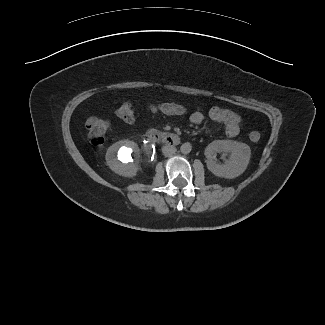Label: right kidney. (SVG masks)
<instances>
[{
    "mask_svg": "<svg viewBox=\"0 0 325 325\" xmlns=\"http://www.w3.org/2000/svg\"><path fill=\"white\" fill-rule=\"evenodd\" d=\"M106 163L119 175L134 176L140 169L138 145L130 140H120L114 143L107 150Z\"/></svg>",
    "mask_w": 325,
    "mask_h": 325,
    "instance_id": "right-kidney-1",
    "label": "right kidney"
}]
</instances>
